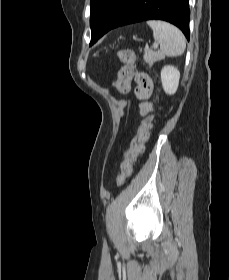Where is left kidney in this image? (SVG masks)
Returning <instances> with one entry per match:
<instances>
[{
	"label": "left kidney",
	"mask_w": 229,
	"mask_h": 280,
	"mask_svg": "<svg viewBox=\"0 0 229 280\" xmlns=\"http://www.w3.org/2000/svg\"><path fill=\"white\" fill-rule=\"evenodd\" d=\"M180 72L171 65L164 66L161 70V82L165 93L172 95L177 91Z\"/></svg>",
	"instance_id": "5707ae66"
}]
</instances>
